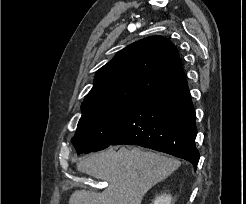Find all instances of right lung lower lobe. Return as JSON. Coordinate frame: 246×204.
I'll use <instances>...</instances> for the list:
<instances>
[{"instance_id": "1", "label": "right lung lower lobe", "mask_w": 246, "mask_h": 204, "mask_svg": "<svg viewBox=\"0 0 246 204\" xmlns=\"http://www.w3.org/2000/svg\"><path fill=\"white\" fill-rule=\"evenodd\" d=\"M196 134L195 110L181 73L134 100L111 145L161 151L189 161L196 170Z\"/></svg>"}]
</instances>
